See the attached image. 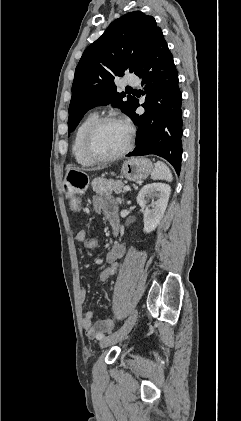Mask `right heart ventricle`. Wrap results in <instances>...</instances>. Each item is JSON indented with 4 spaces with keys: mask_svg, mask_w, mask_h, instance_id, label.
I'll return each instance as SVG.
<instances>
[{
    "mask_svg": "<svg viewBox=\"0 0 241 421\" xmlns=\"http://www.w3.org/2000/svg\"><path fill=\"white\" fill-rule=\"evenodd\" d=\"M98 118L96 113L88 114L78 125L73 141H72V154L75 161L82 166H91L95 164V161L90 159L84 152L83 139L87 129L90 125Z\"/></svg>",
    "mask_w": 241,
    "mask_h": 421,
    "instance_id": "obj_1",
    "label": "right heart ventricle"
}]
</instances>
